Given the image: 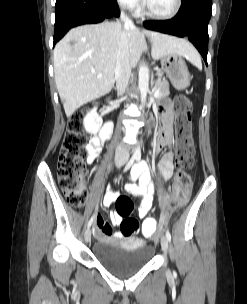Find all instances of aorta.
Listing matches in <instances>:
<instances>
[{"label": "aorta", "mask_w": 247, "mask_h": 304, "mask_svg": "<svg viewBox=\"0 0 247 304\" xmlns=\"http://www.w3.org/2000/svg\"><path fill=\"white\" fill-rule=\"evenodd\" d=\"M138 87L140 90L141 104L145 105L146 98H147V92L149 90V69L144 64L140 65V68H139ZM137 150H139V148Z\"/></svg>", "instance_id": "1"}]
</instances>
